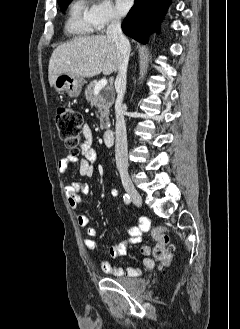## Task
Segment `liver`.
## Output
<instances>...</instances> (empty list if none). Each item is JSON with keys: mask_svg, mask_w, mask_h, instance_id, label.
<instances>
[{"mask_svg": "<svg viewBox=\"0 0 240 329\" xmlns=\"http://www.w3.org/2000/svg\"><path fill=\"white\" fill-rule=\"evenodd\" d=\"M118 69V52L114 40L105 35L75 38L58 46L52 53L48 79L51 86L60 74L94 77Z\"/></svg>", "mask_w": 240, "mask_h": 329, "instance_id": "1", "label": "liver"}]
</instances>
